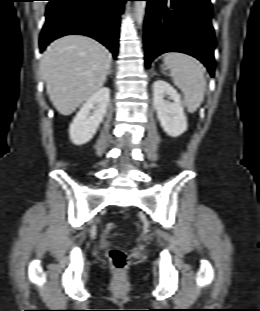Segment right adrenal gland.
Listing matches in <instances>:
<instances>
[{
    "label": "right adrenal gland",
    "mask_w": 260,
    "mask_h": 311,
    "mask_svg": "<svg viewBox=\"0 0 260 311\" xmlns=\"http://www.w3.org/2000/svg\"><path fill=\"white\" fill-rule=\"evenodd\" d=\"M112 72H113V70H112V67L110 66V69H109V71H108L107 75H111V74H112Z\"/></svg>",
    "instance_id": "obj_1"
}]
</instances>
